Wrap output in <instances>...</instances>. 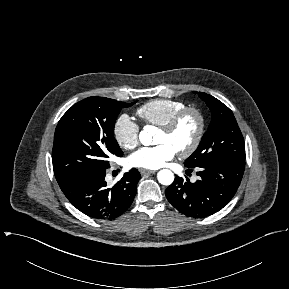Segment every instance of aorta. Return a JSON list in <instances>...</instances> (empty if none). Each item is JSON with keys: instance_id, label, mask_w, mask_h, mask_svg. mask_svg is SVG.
<instances>
[{"instance_id": "aorta-1", "label": "aorta", "mask_w": 289, "mask_h": 289, "mask_svg": "<svg viewBox=\"0 0 289 289\" xmlns=\"http://www.w3.org/2000/svg\"><path fill=\"white\" fill-rule=\"evenodd\" d=\"M152 127L147 126L144 128L143 131L139 134L140 142L145 145L149 146L152 142ZM157 179L160 184L162 185H171L174 181V174L169 169L160 170L157 174Z\"/></svg>"}]
</instances>
